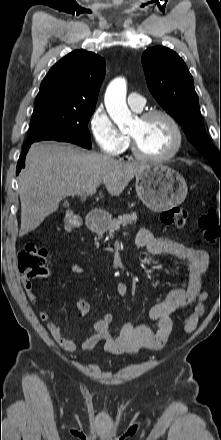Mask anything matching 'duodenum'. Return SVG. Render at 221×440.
I'll return each instance as SVG.
<instances>
[{
    "mask_svg": "<svg viewBox=\"0 0 221 440\" xmlns=\"http://www.w3.org/2000/svg\"><path fill=\"white\" fill-rule=\"evenodd\" d=\"M108 217L106 214L100 213L99 211H92L88 214L86 222L90 229H99L105 224H107Z\"/></svg>",
    "mask_w": 221,
    "mask_h": 440,
    "instance_id": "1",
    "label": "duodenum"
}]
</instances>
